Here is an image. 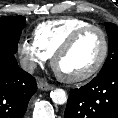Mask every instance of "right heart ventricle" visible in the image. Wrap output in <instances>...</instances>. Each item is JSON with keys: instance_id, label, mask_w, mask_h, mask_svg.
<instances>
[{"instance_id": "e07e8e85", "label": "right heart ventricle", "mask_w": 118, "mask_h": 118, "mask_svg": "<svg viewBox=\"0 0 118 118\" xmlns=\"http://www.w3.org/2000/svg\"><path fill=\"white\" fill-rule=\"evenodd\" d=\"M91 25L78 17H63L39 24L34 30V41L48 56L54 52L77 30Z\"/></svg>"}]
</instances>
